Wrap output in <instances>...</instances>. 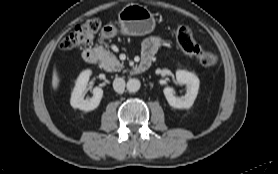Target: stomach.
I'll use <instances>...</instances> for the list:
<instances>
[{
  "mask_svg": "<svg viewBox=\"0 0 278 174\" xmlns=\"http://www.w3.org/2000/svg\"><path fill=\"white\" fill-rule=\"evenodd\" d=\"M120 30L114 25H106L101 32L103 38H112L118 32L128 36H142L151 33L155 28L153 14L139 4H128L118 14Z\"/></svg>",
  "mask_w": 278,
  "mask_h": 174,
  "instance_id": "0dacf381",
  "label": "stomach"
}]
</instances>
